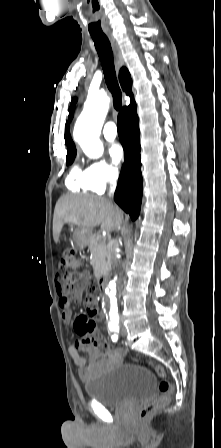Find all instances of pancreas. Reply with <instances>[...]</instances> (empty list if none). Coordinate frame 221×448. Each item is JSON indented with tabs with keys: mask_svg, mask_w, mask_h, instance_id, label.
<instances>
[{
	"mask_svg": "<svg viewBox=\"0 0 221 448\" xmlns=\"http://www.w3.org/2000/svg\"><path fill=\"white\" fill-rule=\"evenodd\" d=\"M89 250L91 252V265L95 273H103L108 270L110 265V255L106 246V239L101 236L91 237L89 243Z\"/></svg>",
	"mask_w": 221,
	"mask_h": 448,
	"instance_id": "cf45deb5",
	"label": "pancreas"
}]
</instances>
